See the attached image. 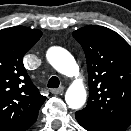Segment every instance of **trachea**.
Here are the masks:
<instances>
[{
  "instance_id": "1",
  "label": "trachea",
  "mask_w": 131,
  "mask_h": 131,
  "mask_svg": "<svg viewBox=\"0 0 131 131\" xmlns=\"http://www.w3.org/2000/svg\"><path fill=\"white\" fill-rule=\"evenodd\" d=\"M60 81L56 76H52L48 81V88H58Z\"/></svg>"
}]
</instances>
